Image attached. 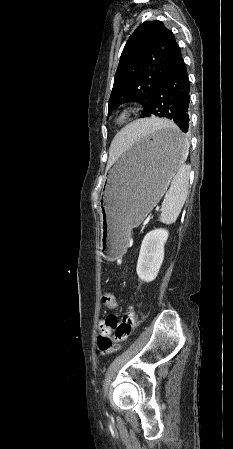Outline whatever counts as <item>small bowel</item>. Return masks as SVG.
Segmentation results:
<instances>
[{"instance_id":"obj_1","label":"small bowel","mask_w":233,"mask_h":449,"mask_svg":"<svg viewBox=\"0 0 233 449\" xmlns=\"http://www.w3.org/2000/svg\"><path fill=\"white\" fill-rule=\"evenodd\" d=\"M104 328H105V320L101 319L99 321V323H98V329L100 331V334H101V332L103 331Z\"/></svg>"}]
</instances>
